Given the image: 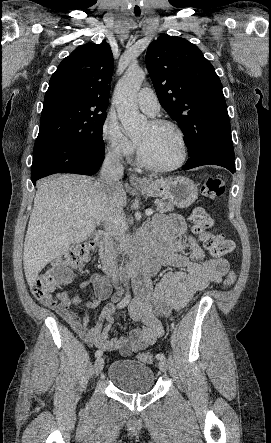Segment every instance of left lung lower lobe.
I'll return each instance as SVG.
<instances>
[{"label":"left lung lower lobe","mask_w":271,"mask_h":443,"mask_svg":"<svg viewBox=\"0 0 271 443\" xmlns=\"http://www.w3.org/2000/svg\"><path fill=\"white\" fill-rule=\"evenodd\" d=\"M234 158L235 155L233 143L225 144L221 142H213L198 152L190 155V158L183 167V170L192 169L201 165L212 164L225 167L234 173L236 171Z\"/></svg>","instance_id":"0a47b994"}]
</instances>
